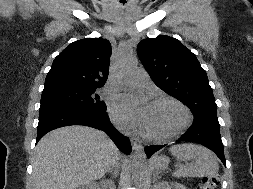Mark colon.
I'll list each match as a JSON object with an SVG mask.
<instances>
[{
	"instance_id": "1",
	"label": "colon",
	"mask_w": 253,
	"mask_h": 189,
	"mask_svg": "<svg viewBox=\"0 0 253 189\" xmlns=\"http://www.w3.org/2000/svg\"><path fill=\"white\" fill-rule=\"evenodd\" d=\"M219 184V176H207L202 178L197 189H216Z\"/></svg>"
}]
</instances>
